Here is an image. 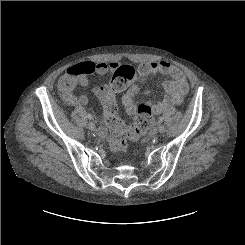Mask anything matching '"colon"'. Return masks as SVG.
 I'll use <instances>...</instances> for the list:
<instances>
[{"mask_svg": "<svg viewBox=\"0 0 245 245\" xmlns=\"http://www.w3.org/2000/svg\"><path fill=\"white\" fill-rule=\"evenodd\" d=\"M75 75L63 82L65 89L76 86L90 73L94 71V64L80 63L70 68ZM137 81V75L133 68L123 67L122 71L113 78L111 94L103 103L104 119L110 129V144L117 151H126L128 143L126 135L137 137L147 132L153 125L151 108L147 104H141L137 108V115L132 127L127 128L118 115V105L114 94L124 90Z\"/></svg>", "mask_w": 245, "mask_h": 245, "instance_id": "5ec220e1", "label": "colon"}]
</instances>
